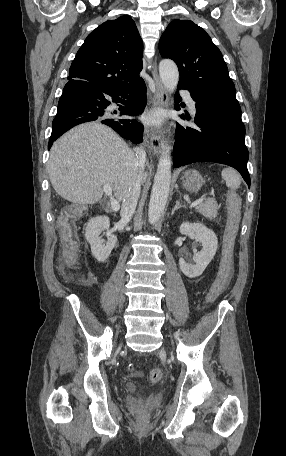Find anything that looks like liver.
<instances>
[{
    "mask_svg": "<svg viewBox=\"0 0 286 456\" xmlns=\"http://www.w3.org/2000/svg\"><path fill=\"white\" fill-rule=\"evenodd\" d=\"M136 163V154L117 133L91 122L71 129L53 144L48 174L56 193L72 203H97L105 184L122 201L138 174ZM140 176L145 180L146 173Z\"/></svg>",
    "mask_w": 286,
    "mask_h": 456,
    "instance_id": "6515ba94",
    "label": "liver"
}]
</instances>
